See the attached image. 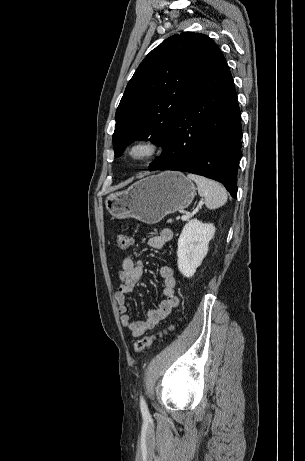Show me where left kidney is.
I'll return each instance as SVG.
<instances>
[{"label": "left kidney", "mask_w": 305, "mask_h": 461, "mask_svg": "<svg viewBox=\"0 0 305 461\" xmlns=\"http://www.w3.org/2000/svg\"><path fill=\"white\" fill-rule=\"evenodd\" d=\"M213 224L197 219L189 221L178 239L177 264L183 276L190 278L201 265L208 252L209 241L214 237Z\"/></svg>", "instance_id": "obj_1"}]
</instances>
